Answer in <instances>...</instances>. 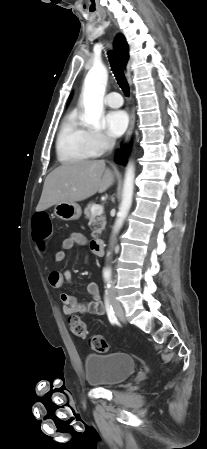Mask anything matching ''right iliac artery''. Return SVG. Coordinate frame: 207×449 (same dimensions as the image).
<instances>
[{
  "label": "right iliac artery",
  "instance_id": "1",
  "mask_svg": "<svg viewBox=\"0 0 207 449\" xmlns=\"http://www.w3.org/2000/svg\"><path fill=\"white\" fill-rule=\"evenodd\" d=\"M106 295H107V291H106ZM105 306H106V311H107V315H108L110 323L116 324L118 322L117 317L115 316L114 310H113L112 306L110 305L107 296L105 297Z\"/></svg>",
  "mask_w": 207,
  "mask_h": 449
}]
</instances>
